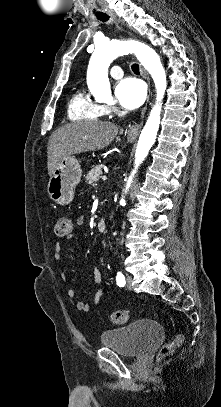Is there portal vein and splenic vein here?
<instances>
[{
    "instance_id": "1",
    "label": "portal vein and splenic vein",
    "mask_w": 221,
    "mask_h": 407,
    "mask_svg": "<svg viewBox=\"0 0 221 407\" xmlns=\"http://www.w3.org/2000/svg\"><path fill=\"white\" fill-rule=\"evenodd\" d=\"M101 179H102L103 181H105V180H107V176H106V175H103V176H101Z\"/></svg>"
}]
</instances>
